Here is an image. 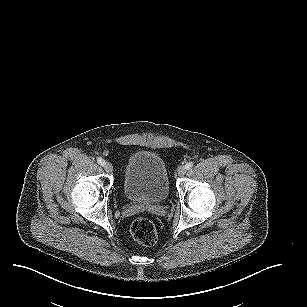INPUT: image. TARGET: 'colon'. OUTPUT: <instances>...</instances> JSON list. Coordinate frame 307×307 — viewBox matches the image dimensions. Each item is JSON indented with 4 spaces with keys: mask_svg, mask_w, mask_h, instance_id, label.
<instances>
[{
    "mask_svg": "<svg viewBox=\"0 0 307 307\" xmlns=\"http://www.w3.org/2000/svg\"><path fill=\"white\" fill-rule=\"evenodd\" d=\"M131 235L140 244L152 246L157 241L154 223L146 218H138L131 225Z\"/></svg>",
    "mask_w": 307,
    "mask_h": 307,
    "instance_id": "1",
    "label": "colon"
}]
</instances>
